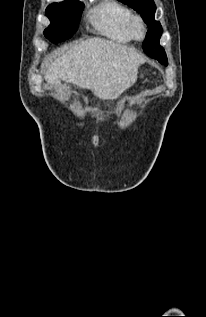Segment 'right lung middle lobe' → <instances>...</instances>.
I'll return each mask as SVG.
<instances>
[{
	"mask_svg": "<svg viewBox=\"0 0 206 317\" xmlns=\"http://www.w3.org/2000/svg\"><path fill=\"white\" fill-rule=\"evenodd\" d=\"M84 4L75 0L53 3L46 9L50 25L44 35L53 43L69 39L77 30Z\"/></svg>",
	"mask_w": 206,
	"mask_h": 317,
	"instance_id": "obj_1",
	"label": "right lung middle lobe"
}]
</instances>
